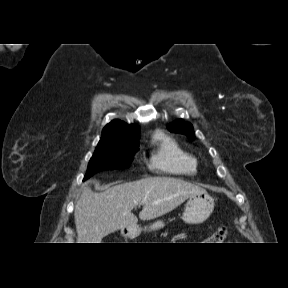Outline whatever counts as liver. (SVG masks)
Here are the masks:
<instances>
[{"label": "liver", "instance_id": "obj_1", "mask_svg": "<svg viewBox=\"0 0 288 288\" xmlns=\"http://www.w3.org/2000/svg\"><path fill=\"white\" fill-rule=\"evenodd\" d=\"M202 191L197 185L173 177H149L114 185L100 193L86 186L74 211L77 241L101 243L114 231L136 228L138 218L132 210L137 205L143 206L139 218L151 220Z\"/></svg>", "mask_w": 288, "mask_h": 288}]
</instances>
